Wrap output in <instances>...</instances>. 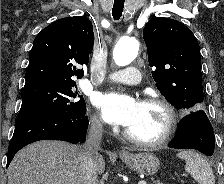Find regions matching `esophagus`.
Masks as SVG:
<instances>
[{
  "label": "esophagus",
  "mask_w": 224,
  "mask_h": 184,
  "mask_svg": "<svg viewBox=\"0 0 224 184\" xmlns=\"http://www.w3.org/2000/svg\"><path fill=\"white\" fill-rule=\"evenodd\" d=\"M119 154L125 156L128 154V152L126 150L122 149V150H120Z\"/></svg>",
  "instance_id": "obj_1"
}]
</instances>
